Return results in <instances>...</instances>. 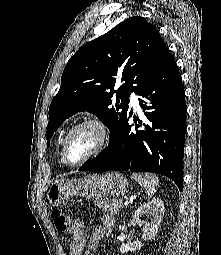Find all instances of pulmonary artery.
Instances as JSON below:
<instances>
[{"instance_id":"e3ab8cb5","label":"pulmonary artery","mask_w":221,"mask_h":255,"mask_svg":"<svg viewBox=\"0 0 221 255\" xmlns=\"http://www.w3.org/2000/svg\"><path fill=\"white\" fill-rule=\"evenodd\" d=\"M131 104L134 107H138V100H137V96L135 95V93L131 94Z\"/></svg>"}]
</instances>
